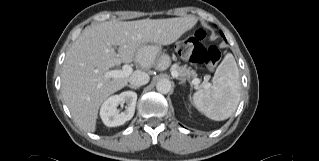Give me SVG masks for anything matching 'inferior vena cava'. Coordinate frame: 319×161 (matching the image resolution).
Returning <instances> with one entry per match:
<instances>
[{"instance_id":"inferior-vena-cava-1","label":"inferior vena cava","mask_w":319,"mask_h":161,"mask_svg":"<svg viewBox=\"0 0 319 161\" xmlns=\"http://www.w3.org/2000/svg\"><path fill=\"white\" fill-rule=\"evenodd\" d=\"M149 80H150L149 75L142 71H135L129 77V83L135 87H140L142 85H145L149 82Z\"/></svg>"}]
</instances>
